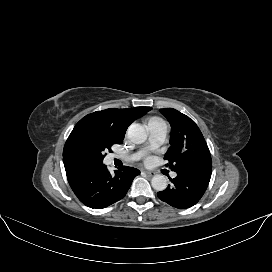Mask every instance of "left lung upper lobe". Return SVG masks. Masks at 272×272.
I'll list each match as a JSON object with an SVG mask.
<instances>
[{
  "instance_id": "left-lung-upper-lobe-1",
  "label": "left lung upper lobe",
  "mask_w": 272,
  "mask_h": 272,
  "mask_svg": "<svg viewBox=\"0 0 272 272\" xmlns=\"http://www.w3.org/2000/svg\"><path fill=\"white\" fill-rule=\"evenodd\" d=\"M160 112L171 125V146L164 156L171 170L212 166L210 151L195 122L173 108Z\"/></svg>"
}]
</instances>
